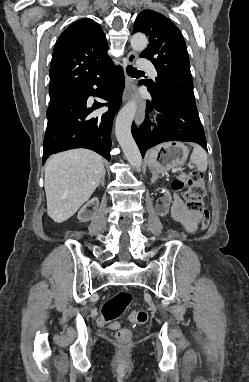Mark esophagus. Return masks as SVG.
Instances as JSON below:
<instances>
[{
  "label": "esophagus",
  "mask_w": 249,
  "mask_h": 382,
  "mask_svg": "<svg viewBox=\"0 0 249 382\" xmlns=\"http://www.w3.org/2000/svg\"><path fill=\"white\" fill-rule=\"evenodd\" d=\"M136 59H137L136 52L134 51L129 52L126 58V65L134 64ZM134 90H135V85L132 83L130 77L126 74V88H125L123 100L126 101L127 99L132 97L134 95ZM144 114H145V103L142 100H138V107H137V112L135 116L136 125L139 126L142 123Z\"/></svg>",
  "instance_id": "esophagus-1"
}]
</instances>
